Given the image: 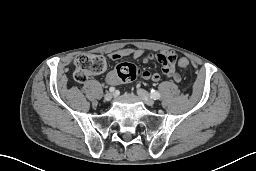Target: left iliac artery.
<instances>
[{
    "instance_id": "obj_1",
    "label": "left iliac artery",
    "mask_w": 256,
    "mask_h": 171,
    "mask_svg": "<svg viewBox=\"0 0 256 171\" xmlns=\"http://www.w3.org/2000/svg\"><path fill=\"white\" fill-rule=\"evenodd\" d=\"M151 97L153 99H159L160 98V93L158 91H155V90H151Z\"/></svg>"
}]
</instances>
